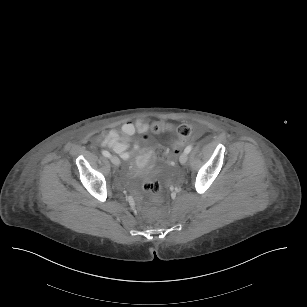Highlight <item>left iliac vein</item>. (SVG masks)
I'll return each mask as SVG.
<instances>
[{
	"label": "left iliac vein",
	"instance_id": "1",
	"mask_svg": "<svg viewBox=\"0 0 307 307\" xmlns=\"http://www.w3.org/2000/svg\"><path fill=\"white\" fill-rule=\"evenodd\" d=\"M187 160H188V154L185 153V152H183V153L180 155V157H179V162H180L181 164H185V163L187 162Z\"/></svg>",
	"mask_w": 307,
	"mask_h": 307
}]
</instances>
